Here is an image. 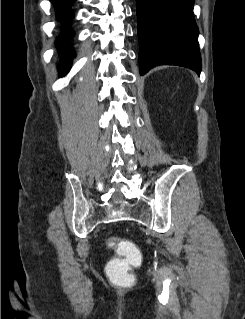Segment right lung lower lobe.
<instances>
[{"instance_id": "98d812e1", "label": "right lung lower lobe", "mask_w": 245, "mask_h": 319, "mask_svg": "<svg viewBox=\"0 0 245 319\" xmlns=\"http://www.w3.org/2000/svg\"><path fill=\"white\" fill-rule=\"evenodd\" d=\"M55 6L56 18L62 24L63 31L59 37V53L63 56V60L59 64L61 75H65L70 67L72 58L75 56L74 52L68 46L72 30L69 24L73 19V13L70 9L75 0H50Z\"/></svg>"}]
</instances>
